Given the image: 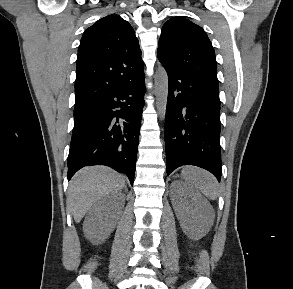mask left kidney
I'll use <instances>...</instances> for the list:
<instances>
[{
    "label": "left kidney",
    "instance_id": "5707ae66",
    "mask_svg": "<svg viewBox=\"0 0 293 289\" xmlns=\"http://www.w3.org/2000/svg\"><path fill=\"white\" fill-rule=\"evenodd\" d=\"M171 189L172 205L180 226L186 234L200 238L213 222L214 210L211 204L185 182L176 180L172 182Z\"/></svg>",
    "mask_w": 293,
    "mask_h": 289
}]
</instances>
